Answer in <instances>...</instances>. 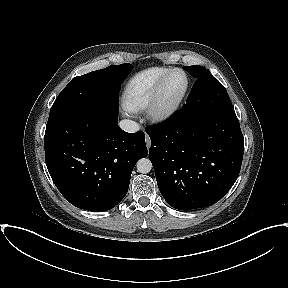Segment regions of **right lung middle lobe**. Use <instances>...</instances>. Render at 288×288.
<instances>
[{
  "mask_svg": "<svg viewBox=\"0 0 288 288\" xmlns=\"http://www.w3.org/2000/svg\"><path fill=\"white\" fill-rule=\"evenodd\" d=\"M132 68L131 64L112 65L72 79L51 107L47 126L80 113L118 115L117 94Z\"/></svg>",
  "mask_w": 288,
  "mask_h": 288,
  "instance_id": "right-lung-middle-lobe-1",
  "label": "right lung middle lobe"
}]
</instances>
